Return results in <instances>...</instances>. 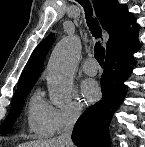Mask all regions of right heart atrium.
<instances>
[{"mask_svg": "<svg viewBox=\"0 0 145 147\" xmlns=\"http://www.w3.org/2000/svg\"><path fill=\"white\" fill-rule=\"evenodd\" d=\"M82 114V105L79 100L72 98L64 105L51 106L49 121L52 133L74 125Z\"/></svg>", "mask_w": 145, "mask_h": 147, "instance_id": "d8ad5b80", "label": "right heart atrium"}]
</instances>
